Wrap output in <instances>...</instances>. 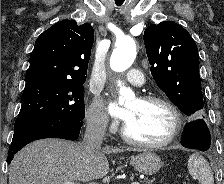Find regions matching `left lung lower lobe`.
I'll return each mask as SVG.
<instances>
[{
    "instance_id": "obj_1",
    "label": "left lung lower lobe",
    "mask_w": 224,
    "mask_h": 184,
    "mask_svg": "<svg viewBox=\"0 0 224 184\" xmlns=\"http://www.w3.org/2000/svg\"><path fill=\"white\" fill-rule=\"evenodd\" d=\"M210 143V132L202 118L195 119L186 125L181 139L182 146L206 151L209 149Z\"/></svg>"
}]
</instances>
